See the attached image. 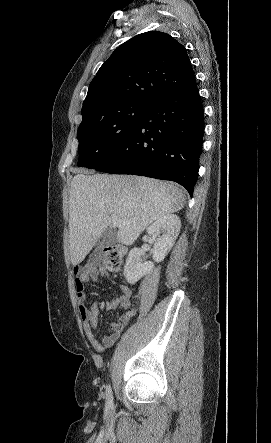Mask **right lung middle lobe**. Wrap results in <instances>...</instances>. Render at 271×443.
Listing matches in <instances>:
<instances>
[{
    "label": "right lung middle lobe",
    "instance_id": "right-lung-middle-lobe-1",
    "mask_svg": "<svg viewBox=\"0 0 271 443\" xmlns=\"http://www.w3.org/2000/svg\"><path fill=\"white\" fill-rule=\"evenodd\" d=\"M149 104L124 101L102 108L82 121L77 133L78 166L96 169L111 158L139 123Z\"/></svg>",
    "mask_w": 271,
    "mask_h": 443
}]
</instances>
